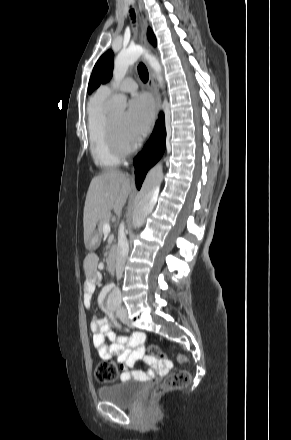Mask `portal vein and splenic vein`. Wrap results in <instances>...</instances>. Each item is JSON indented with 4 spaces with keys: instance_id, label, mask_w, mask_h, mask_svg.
<instances>
[{
    "instance_id": "1",
    "label": "portal vein and splenic vein",
    "mask_w": 291,
    "mask_h": 440,
    "mask_svg": "<svg viewBox=\"0 0 291 440\" xmlns=\"http://www.w3.org/2000/svg\"><path fill=\"white\" fill-rule=\"evenodd\" d=\"M110 231H111V227H110V225H109L108 223L104 224V225H103V233H104V234H109Z\"/></svg>"
}]
</instances>
